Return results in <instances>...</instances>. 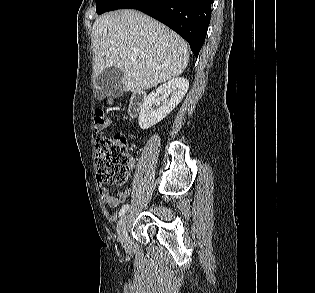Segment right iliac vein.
Instances as JSON below:
<instances>
[{"label": "right iliac vein", "mask_w": 315, "mask_h": 293, "mask_svg": "<svg viewBox=\"0 0 315 293\" xmlns=\"http://www.w3.org/2000/svg\"><path fill=\"white\" fill-rule=\"evenodd\" d=\"M118 236L119 240L124 244L125 247L129 245L128 238V218L126 215H123L118 223Z\"/></svg>", "instance_id": "right-iliac-vein-1"}]
</instances>
